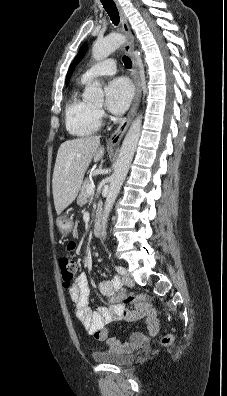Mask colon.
I'll use <instances>...</instances> for the list:
<instances>
[{
	"instance_id": "obj_1",
	"label": "colon",
	"mask_w": 227,
	"mask_h": 396,
	"mask_svg": "<svg viewBox=\"0 0 227 396\" xmlns=\"http://www.w3.org/2000/svg\"><path fill=\"white\" fill-rule=\"evenodd\" d=\"M59 270L61 273V278H62L64 287L70 288L74 281L76 270H77L76 262L69 257H62L59 260ZM131 299H132V297H128L125 300H123V303H127ZM173 341H174L173 334H167L162 338V344L164 346L171 345L173 343Z\"/></svg>"
}]
</instances>
